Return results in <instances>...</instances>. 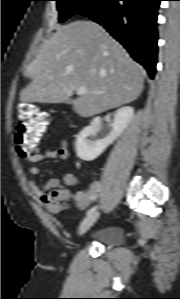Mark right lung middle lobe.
Returning a JSON list of instances; mask_svg holds the SVG:
<instances>
[{"instance_id":"obj_1","label":"right lung middle lobe","mask_w":180,"mask_h":299,"mask_svg":"<svg viewBox=\"0 0 180 299\" xmlns=\"http://www.w3.org/2000/svg\"><path fill=\"white\" fill-rule=\"evenodd\" d=\"M59 11V22L65 21L74 14H84L104 0H56Z\"/></svg>"}]
</instances>
